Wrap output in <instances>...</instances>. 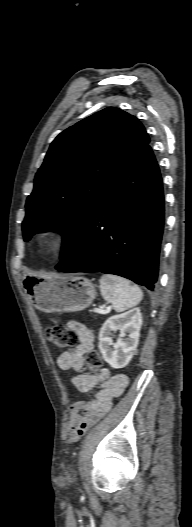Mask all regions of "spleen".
<instances>
[{
    "label": "spleen",
    "instance_id": "spleen-1",
    "mask_svg": "<svg viewBox=\"0 0 192 527\" xmlns=\"http://www.w3.org/2000/svg\"><path fill=\"white\" fill-rule=\"evenodd\" d=\"M102 297L112 303L117 312H123L140 303L142 290L137 285L119 276L105 274L100 279Z\"/></svg>",
    "mask_w": 192,
    "mask_h": 527
}]
</instances>
